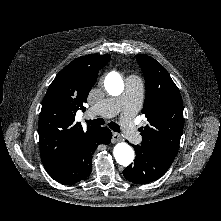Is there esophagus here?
Masks as SVG:
<instances>
[{
  "instance_id": "34e87169",
  "label": "esophagus",
  "mask_w": 221,
  "mask_h": 221,
  "mask_svg": "<svg viewBox=\"0 0 221 221\" xmlns=\"http://www.w3.org/2000/svg\"><path fill=\"white\" fill-rule=\"evenodd\" d=\"M122 140V137L119 133L114 132L112 136V143H117Z\"/></svg>"
}]
</instances>
